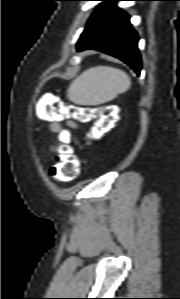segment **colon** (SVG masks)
<instances>
[{"label":"colon","mask_w":180,"mask_h":299,"mask_svg":"<svg viewBox=\"0 0 180 299\" xmlns=\"http://www.w3.org/2000/svg\"><path fill=\"white\" fill-rule=\"evenodd\" d=\"M69 114L81 122H91L96 120L95 125L90 131L92 139H98L103 136L109 129V124L114 120L115 111L111 107L100 109L87 106H73ZM47 115L51 119L65 117L67 112L63 110L59 102H54L48 109ZM80 171L79 160L75 158L67 144V137H61V145L55 156L53 167L50 170V176L60 182H70L77 178Z\"/></svg>","instance_id":"obj_1"}]
</instances>
